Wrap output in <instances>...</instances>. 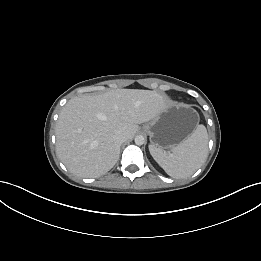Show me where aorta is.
<instances>
[{
  "instance_id": "aorta-1",
  "label": "aorta",
  "mask_w": 261,
  "mask_h": 261,
  "mask_svg": "<svg viewBox=\"0 0 261 261\" xmlns=\"http://www.w3.org/2000/svg\"><path fill=\"white\" fill-rule=\"evenodd\" d=\"M135 143H136L137 145H143V144L145 143V137L142 136V135H137V136L135 137Z\"/></svg>"
}]
</instances>
